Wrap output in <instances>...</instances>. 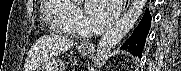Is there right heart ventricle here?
I'll return each instance as SVG.
<instances>
[{
	"mask_svg": "<svg viewBox=\"0 0 181 71\" xmlns=\"http://www.w3.org/2000/svg\"><path fill=\"white\" fill-rule=\"evenodd\" d=\"M41 11L42 18L51 31L68 36L78 34L79 10L73 1L44 0Z\"/></svg>",
	"mask_w": 181,
	"mask_h": 71,
	"instance_id": "e07e8e85",
	"label": "right heart ventricle"
}]
</instances>
